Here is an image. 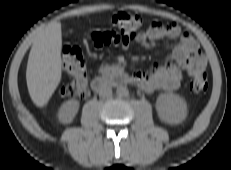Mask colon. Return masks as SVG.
<instances>
[{"mask_svg":"<svg viewBox=\"0 0 231 170\" xmlns=\"http://www.w3.org/2000/svg\"><path fill=\"white\" fill-rule=\"evenodd\" d=\"M107 25L129 37H135L143 31V22L139 15L122 11L109 16ZM62 67L70 80L61 88L60 95L65 98H85L88 95V74L87 62L81 50L74 46H66L63 49ZM207 87L206 72H197L190 83V91L197 94L204 92Z\"/></svg>","mask_w":231,"mask_h":170,"instance_id":"1","label":"colon"}]
</instances>
